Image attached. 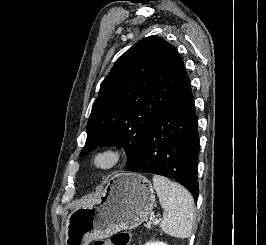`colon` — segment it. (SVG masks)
<instances>
[{
    "label": "colon",
    "instance_id": "obj_1",
    "mask_svg": "<svg viewBox=\"0 0 266 245\" xmlns=\"http://www.w3.org/2000/svg\"><path fill=\"white\" fill-rule=\"evenodd\" d=\"M130 238L131 231L129 230L116 232L110 239L111 245H129ZM95 245H107V243L105 240H97Z\"/></svg>",
    "mask_w": 266,
    "mask_h": 245
}]
</instances>
